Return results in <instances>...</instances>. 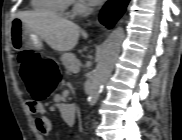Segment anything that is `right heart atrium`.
Returning a JSON list of instances; mask_svg holds the SVG:
<instances>
[{
    "label": "right heart atrium",
    "mask_w": 182,
    "mask_h": 140,
    "mask_svg": "<svg viewBox=\"0 0 182 140\" xmlns=\"http://www.w3.org/2000/svg\"><path fill=\"white\" fill-rule=\"evenodd\" d=\"M88 10V8L86 6H83L79 3H75L74 5V11L77 13H84Z\"/></svg>",
    "instance_id": "right-heart-atrium-1"
}]
</instances>
